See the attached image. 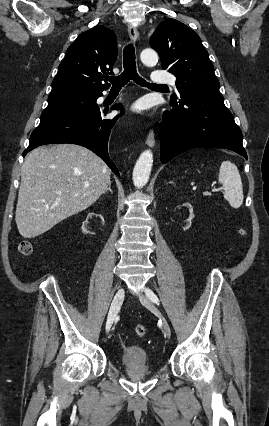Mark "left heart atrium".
Returning <instances> with one entry per match:
<instances>
[{
	"instance_id": "left-heart-atrium-1",
	"label": "left heart atrium",
	"mask_w": 269,
	"mask_h": 426,
	"mask_svg": "<svg viewBox=\"0 0 269 426\" xmlns=\"http://www.w3.org/2000/svg\"><path fill=\"white\" fill-rule=\"evenodd\" d=\"M148 107V104L144 101H140L138 103H136V105L134 106V109L137 111H142L145 110Z\"/></svg>"
}]
</instances>
